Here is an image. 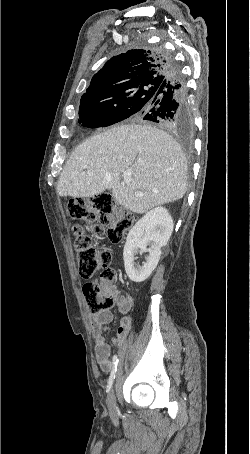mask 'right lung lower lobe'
<instances>
[{
  "mask_svg": "<svg viewBox=\"0 0 250 454\" xmlns=\"http://www.w3.org/2000/svg\"><path fill=\"white\" fill-rule=\"evenodd\" d=\"M171 72L159 87L151 104L140 112L138 118L156 122L172 131L186 133L193 127L188 105L187 89L176 62L166 53Z\"/></svg>",
  "mask_w": 250,
  "mask_h": 454,
  "instance_id": "98d812e1",
  "label": "right lung lower lobe"
}]
</instances>
